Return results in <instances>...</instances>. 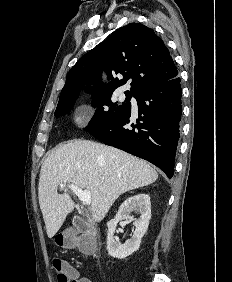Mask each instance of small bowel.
I'll return each mask as SVG.
<instances>
[{
	"mask_svg": "<svg viewBox=\"0 0 232 282\" xmlns=\"http://www.w3.org/2000/svg\"><path fill=\"white\" fill-rule=\"evenodd\" d=\"M73 277H74V282H93L91 279L87 277H81L79 272L73 268Z\"/></svg>",
	"mask_w": 232,
	"mask_h": 282,
	"instance_id": "c3829d8e",
	"label": "small bowel"
}]
</instances>
